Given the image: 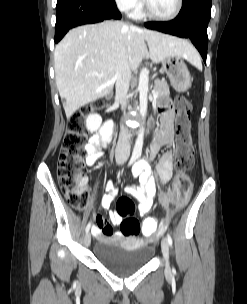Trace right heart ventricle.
Instances as JSON below:
<instances>
[{"label":"right heart ventricle","instance_id":"1","mask_svg":"<svg viewBox=\"0 0 247 304\" xmlns=\"http://www.w3.org/2000/svg\"><path fill=\"white\" fill-rule=\"evenodd\" d=\"M134 17H136V18H139V17H141L142 16V12H141V10L140 9H137L135 12H134Z\"/></svg>","mask_w":247,"mask_h":304}]
</instances>
